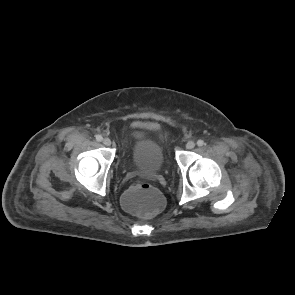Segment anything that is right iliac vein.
I'll return each mask as SVG.
<instances>
[{
	"label": "right iliac vein",
	"mask_w": 295,
	"mask_h": 295,
	"mask_svg": "<svg viewBox=\"0 0 295 295\" xmlns=\"http://www.w3.org/2000/svg\"><path fill=\"white\" fill-rule=\"evenodd\" d=\"M103 144H104L105 146H110V145H111V140H110L109 138H104V140H103Z\"/></svg>",
	"instance_id": "obj_1"
}]
</instances>
